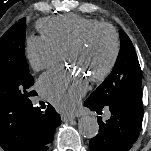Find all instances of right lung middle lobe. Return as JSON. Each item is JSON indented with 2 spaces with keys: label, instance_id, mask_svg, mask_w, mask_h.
Listing matches in <instances>:
<instances>
[{
  "label": "right lung middle lobe",
  "instance_id": "dd1d6c3e",
  "mask_svg": "<svg viewBox=\"0 0 151 151\" xmlns=\"http://www.w3.org/2000/svg\"><path fill=\"white\" fill-rule=\"evenodd\" d=\"M26 20L22 18L0 38V99L30 102L33 77L25 59Z\"/></svg>",
  "mask_w": 151,
  "mask_h": 151
}]
</instances>
